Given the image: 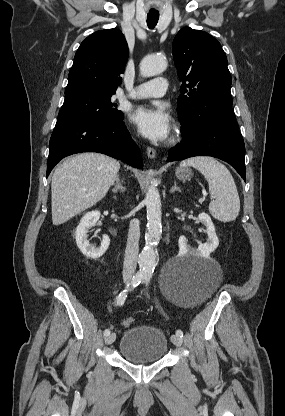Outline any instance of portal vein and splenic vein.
<instances>
[{
    "label": "portal vein and splenic vein",
    "mask_w": 285,
    "mask_h": 416,
    "mask_svg": "<svg viewBox=\"0 0 285 416\" xmlns=\"http://www.w3.org/2000/svg\"><path fill=\"white\" fill-rule=\"evenodd\" d=\"M207 194H203V198H206ZM212 200L214 198V196H211Z\"/></svg>",
    "instance_id": "18ae733b"
}]
</instances>
